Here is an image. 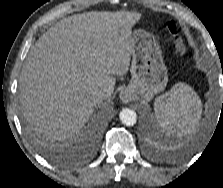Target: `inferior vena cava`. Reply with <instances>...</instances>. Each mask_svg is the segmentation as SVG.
<instances>
[{
  "mask_svg": "<svg viewBox=\"0 0 223 188\" xmlns=\"http://www.w3.org/2000/svg\"><path fill=\"white\" fill-rule=\"evenodd\" d=\"M110 95L107 89H97L91 92V99L94 104H99Z\"/></svg>",
  "mask_w": 223,
  "mask_h": 188,
  "instance_id": "inferior-vena-cava-1",
  "label": "inferior vena cava"
}]
</instances>
